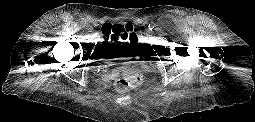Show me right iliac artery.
<instances>
[{"mask_svg":"<svg viewBox=\"0 0 255 122\" xmlns=\"http://www.w3.org/2000/svg\"><path fill=\"white\" fill-rule=\"evenodd\" d=\"M86 29L88 30V31H91V26H86Z\"/></svg>","mask_w":255,"mask_h":122,"instance_id":"82829eb1","label":"right iliac artery"}]
</instances>
